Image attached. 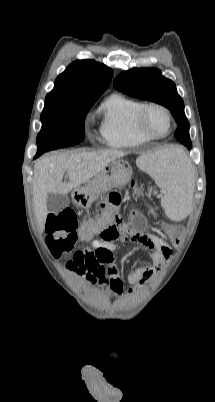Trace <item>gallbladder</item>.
I'll return each mask as SVG.
<instances>
[{"label": "gallbladder", "mask_w": 215, "mask_h": 402, "mask_svg": "<svg viewBox=\"0 0 215 402\" xmlns=\"http://www.w3.org/2000/svg\"><path fill=\"white\" fill-rule=\"evenodd\" d=\"M46 205L49 213H57L69 205V198L67 195L50 193Z\"/></svg>", "instance_id": "gallbladder-1"}]
</instances>
